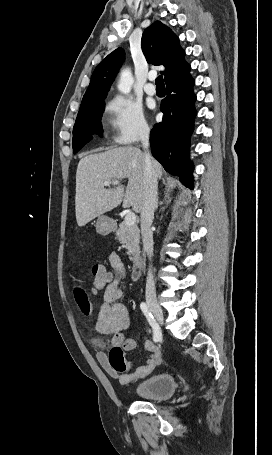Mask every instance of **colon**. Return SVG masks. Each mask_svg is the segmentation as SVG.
<instances>
[{
  "mask_svg": "<svg viewBox=\"0 0 272 455\" xmlns=\"http://www.w3.org/2000/svg\"><path fill=\"white\" fill-rule=\"evenodd\" d=\"M91 273L93 291L104 289L112 276V273L103 264H94L91 268ZM109 362L112 367L119 371L126 369L124 349L122 346L114 345L112 347L109 354Z\"/></svg>",
  "mask_w": 272,
  "mask_h": 455,
  "instance_id": "colon-1",
  "label": "colon"
}]
</instances>
